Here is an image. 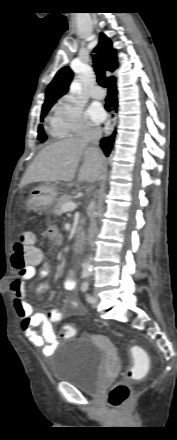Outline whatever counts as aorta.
Returning a JSON list of instances; mask_svg holds the SVG:
<instances>
[{"label": "aorta", "instance_id": "aorta-1", "mask_svg": "<svg viewBox=\"0 0 177 440\" xmlns=\"http://www.w3.org/2000/svg\"><path fill=\"white\" fill-rule=\"evenodd\" d=\"M81 90V84L79 83V81L78 80H74L72 83H71V86H70V93H77V92H79ZM82 268H83V273H85V274H90V272H91V264H90V260L89 259H86L84 262H83V264H82Z\"/></svg>", "mask_w": 177, "mask_h": 440}]
</instances>
